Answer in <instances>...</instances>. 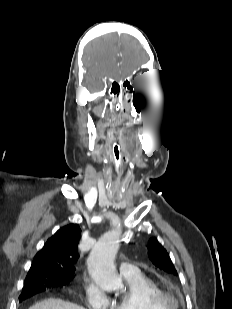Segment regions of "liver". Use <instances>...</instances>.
<instances>
[{"instance_id":"obj_1","label":"liver","mask_w":232,"mask_h":309,"mask_svg":"<svg viewBox=\"0 0 232 309\" xmlns=\"http://www.w3.org/2000/svg\"><path fill=\"white\" fill-rule=\"evenodd\" d=\"M29 309H85V308L58 298H49L37 302Z\"/></svg>"}]
</instances>
